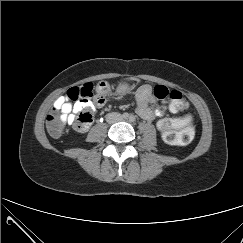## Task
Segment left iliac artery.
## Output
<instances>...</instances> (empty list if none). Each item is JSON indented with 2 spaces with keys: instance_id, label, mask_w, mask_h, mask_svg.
Here are the masks:
<instances>
[{
  "instance_id": "obj_1",
  "label": "left iliac artery",
  "mask_w": 243,
  "mask_h": 243,
  "mask_svg": "<svg viewBox=\"0 0 243 243\" xmlns=\"http://www.w3.org/2000/svg\"><path fill=\"white\" fill-rule=\"evenodd\" d=\"M129 121H130V122H134V121H135V117H134L133 115H131V116L129 117Z\"/></svg>"
}]
</instances>
